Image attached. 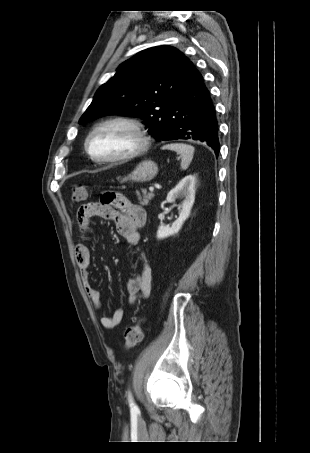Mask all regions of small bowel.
Instances as JSON below:
<instances>
[{"instance_id": "1", "label": "small bowel", "mask_w": 310, "mask_h": 453, "mask_svg": "<svg viewBox=\"0 0 310 453\" xmlns=\"http://www.w3.org/2000/svg\"><path fill=\"white\" fill-rule=\"evenodd\" d=\"M92 217H102L116 222V228L122 236L139 254L142 261L140 272L127 282L128 303L134 304L139 299H146L151 292V268L147 263L145 254L140 249L141 236L139 229L146 222L145 210L120 194L111 193L108 202H89L77 210V225L81 235V242L75 247V258L81 272L85 291L96 309L102 308L100 293L90 282V251L84 239L89 231ZM124 318V310L116 309L111 316L101 318V325L105 329H114L119 326Z\"/></svg>"}]
</instances>
